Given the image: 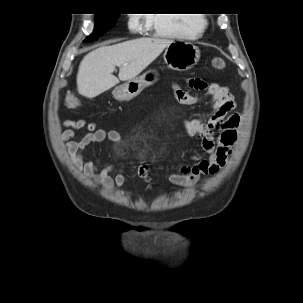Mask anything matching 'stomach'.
Masks as SVG:
<instances>
[{"mask_svg": "<svg viewBox=\"0 0 303 303\" xmlns=\"http://www.w3.org/2000/svg\"><path fill=\"white\" fill-rule=\"evenodd\" d=\"M163 58L170 69L186 71L199 61L200 50L190 42L173 41L166 47ZM158 79V72L150 69L141 76L117 86L112 92L113 96L120 101L130 100L140 94L145 87L157 82Z\"/></svg>", "mask_w": 303, "mask_h": 303, "instance_id": "obj_1", "label": "stomach"}]
</instances>
